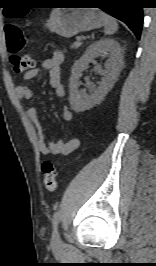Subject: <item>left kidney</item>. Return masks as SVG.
Returning <instances> with one entry per match:
<instances>
[{"instance_id": "left-kidney-1", "label": "left kidney", "mask_w": 156, "mask_h": 266, "mask_svg": "<svg viewBox=\"0 0 156 266\" xmlns=\"http://www.w3.org/2000/svg\"><path fill=\"white\" fill-rule=\"evenodd\" d=\"M103 54L107 55L108 59L105 63V71L98 88L91 95L80 93L78 91V86L82 71L87 68L88 64L95 57ZM122 62L123 51L116 40L105 38L89 45L82 57L72 66V74L69 84V101L72 109L75 112H83L99 104L104 99L108 91L113 87L120 73Z\"/></svg>"}]
</instances>
